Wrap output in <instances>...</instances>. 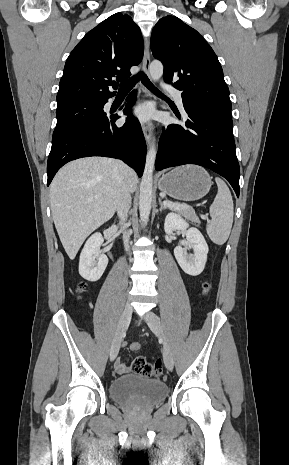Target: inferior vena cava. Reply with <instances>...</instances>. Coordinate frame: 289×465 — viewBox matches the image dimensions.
<instances>
[{"label": "inferior vena cava", "mask_w": 289, "mask_h": 465, "mask_svg": "<svg viewBox=\"0 0 289 465\" xmlns=\"http://www.w3.org/2000/svg\"><path fill=\"white\" fill-rule=\"evenodd\" d=\"M115 164L120 170V175L118 178V185L116 191V210L117 215L120 219V224L124 225L127 219L128 211L131 207V195H130V188L126 181V178L123 175V172L126 168V165L118 160H115ZM124 246L126 251L129 249V234H123Z\"/></svg>", "instance_id": "inferior-vena-cava-1"}]
</instances>
